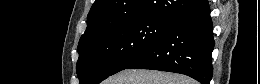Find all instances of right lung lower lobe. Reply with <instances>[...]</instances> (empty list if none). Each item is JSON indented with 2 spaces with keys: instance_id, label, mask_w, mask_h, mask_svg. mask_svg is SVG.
<instances>
[{
  "instance_id": "right-lung-lower-lobe-1",
  "label": "right lung lower lobe",
  "mask_w": 260,
  "mask_h": 84,
  "mask_svg": "<svg viewBox=\"0 0 260 84\" xmlns=\"http://www.w3.org/2000/svg\"><path fill=\"white\" fill-rule=\"evenodd\" d=\"M213 25L207 0L173 19L153 45L126 69L188 75L209 84L213 74Z\"/></svg>"
}]
</instances>
